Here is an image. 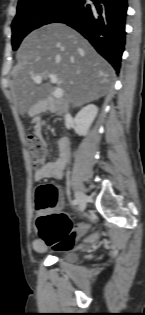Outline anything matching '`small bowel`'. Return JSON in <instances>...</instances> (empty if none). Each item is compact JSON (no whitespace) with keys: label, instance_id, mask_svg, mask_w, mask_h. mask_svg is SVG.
Segmentation results:
<instances>
[{"label":"small bowel","instance_id":"1","mask_svg":"<svg viewBox=\"0 0 145 315\" xmlns=\"http://www.w3.org/2000/svg\"><path fill=\"white\" fill-rule=\"evenodd\" d=\"M34 125H35L36 130L39 132L41 125L38 119L34 120ZM59 147H60V156L57 160L47 162L43 164L41 167L35 169L34 175H33L35 182H40L45 179L60 180L63 178L65 167L67 166L70 160V152H69V147L66 144L65 140H61L59 142ZM62 206H63V200L61 198V205H59L58 210H62ZM32 245H33V249L37 252H44L46 250V244L40 238H36L33 241Z\"/></svg>","mask_w":145,"mask_h":315}]
</instances>
